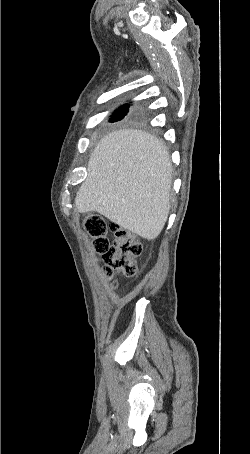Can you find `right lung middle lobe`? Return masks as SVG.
Returning <instances> with one entry per match:
<instances>
[{"mask_svg": "<svg viewBox=\"0 0 250 454\" xmlns=\"http://www.w3.org/2000/svg\"><path fill=\"white\" fill-rule=\"evenodd\" d=\"M132 103V102H131ZM145 118V112L144 108L141 105H132V104H124L120 106L117 110H115L111 118L109 119V122H118L121 121L123 123L129 122V121H136V120H141Z\"/></svg>", "mask_w": 250, "mask_h": 454, "instance_id": "dd1d6c3e", "label": "right lung middle lobe"}]
</instances>
